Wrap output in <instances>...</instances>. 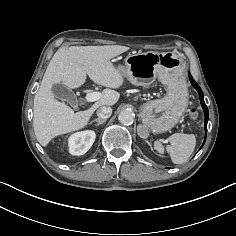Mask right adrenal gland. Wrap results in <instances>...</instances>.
Returning a JSON list of instances; mask_svg holds the SVG:
<instances>
[{
    "label": "right adrenal gland",
    "instance_id": "obj_1",
    "mask_svg": "<svg viewBox=\"0 0 236 236\" xmlns=\"http://www.w3.org/2000/svg\"><path fill=\"white\" fill-rule=\"evenodd\" d=\"M106 121L107 119H100V118L93 120V122H97V126L105 123Z\"/></svg>",
    "mask_w": 236,
    "mask_h": 236
}]
</instances>
